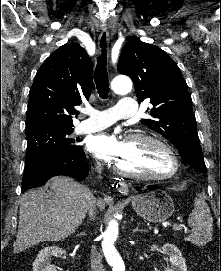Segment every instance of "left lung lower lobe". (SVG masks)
I'll return each mask as SVG.
<instances>
[{"mask_svg":"<svg viewBox=\"0 0 221 271\" xmlns=\"http://www.w3.org/2000/svg\"><path fill=\"white\" fill-rule=\"evenodd\" d=\"M157 188H160V187H159V186H148V189H149V190H154V189H157ZM137 190L140 191V188L137 187Z\"/></svg>","mask_w":221,"mask_h":271,"instance_id":"obj_1","label":"left lung lower lobe"}]
</instances>
